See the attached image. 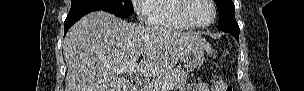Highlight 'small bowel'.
Segmentation results:
<instances>
[{
    "instance_id": "1",
    "label": "small bowel",
    "mask_w": 304,
    "mask_h": 91,
    "mask_svg": "<svg viewBox=\"0 0 304 91\" xmlns=\"http://www.w3.org/2000/svg\"><path fill=\"white\" fill-rule=\"evenodd\" d=\"M186 91H207L208 85L206 83H199V84H194L190 85L184 88Z\"/></svg>"
}]
</instances>
